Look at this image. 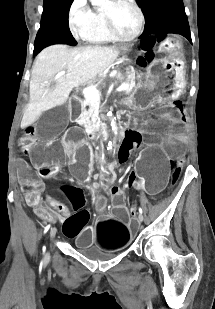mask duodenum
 Listing matches in <instances>:
<instances>
[{
	"mask_svg": "<svg viewBox=\"0 0 215 309\" xmlns=\"http://www.w3.org/2000/svg\"><path fill=\"white\" fill-rule=\"evenodd\" d=\"M116 119L120 124L123 125H128L132 120L130 115L125 113L117 114ZM97 124L98 127L96 130L90 134V139L94 144H99L102 140H104L108 136L111 129L109 121L105 120L104 118H99L97 120Z\"/></svg>",
	"mask_w": 215,
	"mask_h": 309,
	"instance_id": "410a0bca",
	"label": "duodenum"
}]
</instances>
